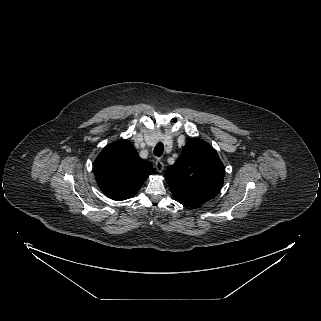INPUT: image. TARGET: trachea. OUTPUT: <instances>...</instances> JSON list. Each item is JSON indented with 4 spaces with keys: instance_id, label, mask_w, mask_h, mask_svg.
<instances>
[{
    "instance_id": "obj_1",
    "label": "trachea",
    "mask_w": 321,
    "mask_h": 321,
    "mask_svg": "<svg viewBox=\"0 0 321 321\" xmlns=\"http://www.w3.org/2000/svg\"><path fill=\"white\" fill-rule=\"evenodd\" d=\"M164 145L162 142H159L154 148V154L157 157H160L163 154Z\"/></svg>"
}]
</instances>
